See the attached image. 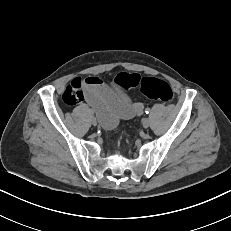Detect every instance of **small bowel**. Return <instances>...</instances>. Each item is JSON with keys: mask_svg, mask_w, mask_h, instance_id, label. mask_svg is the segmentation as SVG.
<instances>
[{"mask_svg": "<svg viewBox=\"0 0 231 231\" xmlns=\"http://www.w3.org/2000/svg\"><path fill=\"white\" fill-rule=\"evenodd\" d=\"M63 99L69 105L87 102L106 129H112L119 120L131 119L143 111L142 103L133 102L126 92L97 76L72 79L63 91Z\"/></svg>", "mask_w": 231, "mask_h": 231, "instance_id": "c3829d8e", "label": "small bowel"}]
</instances>
